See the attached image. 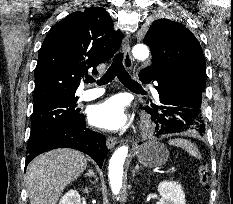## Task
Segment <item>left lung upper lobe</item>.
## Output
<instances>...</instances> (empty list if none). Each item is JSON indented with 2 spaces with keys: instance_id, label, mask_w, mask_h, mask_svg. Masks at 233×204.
Instances as JSON below:
<instances>
[{
  "instance_id": "1",
  "label": "left lung upper lobe",
  "mask_w": 233,
  "mask_h": 204,
  "mask_svg": "<svg viewBox=\"0 0 233 204\" xmlns=\"http://www.w3.org/2000/svg\"><path fill=\"white\" fill-rule=\"evenodd\" d=\"M152 54V64L141 70V74L151 73L162 62H177L186 72L205 87L206 65L200 43L184 25L161 18L152 23L144 37Z\"/></svg>"
}]
</instances>
